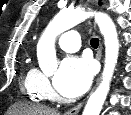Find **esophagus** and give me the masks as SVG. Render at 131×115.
<instances>
[{
    "label": "esophagus",
    "instance_id": "obj_1",
    "mask_svg": "<svg viewBox=\"0 0 131 115\" xmlns=\"http://www.w3.org/2000/svg\"><path fill=\"white\" fill-rule=\"evenodd\" d=\"M94 28L96 30H98L95 23H94ZM101 56H102V47L100 45L99 49L97 51V58L100 60ZM82 106H83V103H79L78 105H76V106L72 107L71 109H69L68 111H66L65 115H77L78 112L80 111V109L82 108Z\"/></svg>",
    "mask_w": 131,
    "mask_h": 115
}]
</instances>
